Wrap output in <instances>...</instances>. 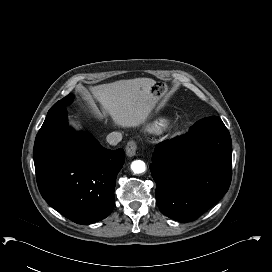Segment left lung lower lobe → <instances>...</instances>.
<instances>
[{
	"mask_svg": "<svg viewBox=\"0 0 272 272\" xmlns=\"http://www.w3.org/2000/svg\"><path fill=\"white\" fill-rule=\"evenodd\" d=\"M150 171L164 215L180 222L200 217L231 182L232 142L222 120L203 118L183 136L156 145Z\"/></svg>",
	"mask_w": 272,
	"mask_h": 272,
	"instance_id": "1",
	"label": "left lung lower lobe"
}]
</instances>
